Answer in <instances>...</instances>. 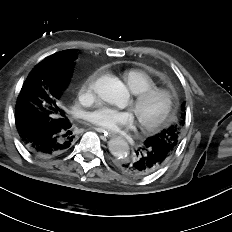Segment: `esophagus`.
<instances>
[{
    "label": "esophagus",
    "mask_w": 232,
    "mask_h": 232,
    "mask_svg": "<svg viewBox=\"0 0 232 232\" xmlns=\"http://www.w3.org/2000/svg\"><path fill=\"white\" fill-rule=\"evenodd\" d=\"M94 130L103 134L106 138L112 137L114 135L113 133H110L109 131L104 130V129L99 128V127H94Z\"/></svg>",
    "instance_id": "esophagus-1"
}]
</instances>
